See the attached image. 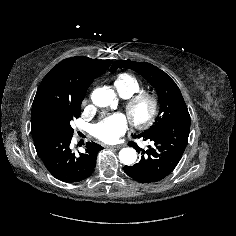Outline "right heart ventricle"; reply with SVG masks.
Returning a JSON list of instances; mask_svg holds the SVG:
<instances>
[{"mask_svg":"<svg viewBox=\"0 0 236 236\" xmlns=\"http://www.w3.org/2000/svg\"><path fill=\"white\" fill-rule=\"evenodd\" d=\"M114 87L120 96L128 98L142 90L140 81L129 73H121L114 80Z\"/></svg>","mask_w":236,"mask_h":236,"instance_id":"right-heart-ventricle-1","label":"right heart ventricle"}]
</instances>
